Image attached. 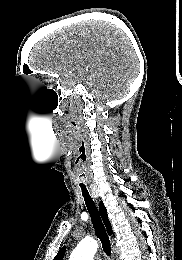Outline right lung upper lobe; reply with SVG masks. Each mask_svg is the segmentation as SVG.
I'll return each instance as SVG.
<instances>
[{
	"instance_id": "cb5924a9",
	"label": "right lung upper lobe",
	"mask_w": 182,
	"mask_h": 260,
	"mask_svg": "<svg viewBox=\"0 0 182 260\" xmlns=\"http://www.w3.org/2000/svg\"><path fill=\"white\" fill-rule=\"evenodd\" d=\"M99 210H100V214L103 219V222L105 224V227H106L109 235H111L113 233L112 227H111L110 221L108 220L106 207L104 206L102 201L99 203ZM64 254H65V247L60 249V251L54 258V260H63Z\"/></svg>"
}]
</instances>
